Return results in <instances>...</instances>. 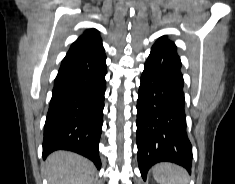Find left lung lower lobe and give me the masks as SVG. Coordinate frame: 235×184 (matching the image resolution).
Returning <instances> with one entry per match:
<instances>
[{
  "label": "left lung lower lobe",
  "mask_w": 235,
  "mask_h": 184,
  "mask_svg": "<svg viewBox=\"0 0 235 184\" xmlns=\"http://www.w3.org/2000/svg\"><path fill=\"white\" fill-rule=\"evenodd\" d=\"M181 66L176 45L166 36L159 38L145 63L138 91L137 156L144 180L154 164L164 161L191 173Z\"/></svg>",
  "instance_id": "0a47b994"
}]
</instances>
